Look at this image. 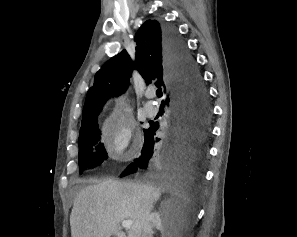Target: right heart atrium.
<instances>
[{
    "label": "right heart atrium",
    "mask_w": 297,
    "mask_h": 237,
    "mask_svg": "<svg viewBox=\"0 0 297 237\" xmlns=\"http://www.w3.org/2000/svg\"><path fill=\"white\" fill-rule=\"evenodd\" d=\"M103 134L109 154L122 158L128 153L133 136V125L128 116L119 112L110 115L103 126Z\"/></svg>",
    "instance_id": "obj_1"
}]
</instances>
